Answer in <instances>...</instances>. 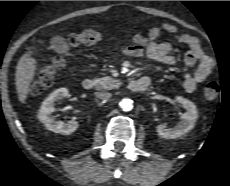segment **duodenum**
<instances>
[{
    "instance_id": "duodenum-1",
    "label": "duodenum",
    "mask_w": 230,
    "mask_h": 186,
    "mask_svg": "<svg viewBox=\"0 0 230 186\" xmlns=\"http://www.w3.org/2000/svg\"><path fill=\"white\" fill-rule=\"evenodd\" d=\"M150 79L148 77H141L139 79L131 80L129 82V89L133 92H143L150 86ZM82 87L86 91L93 90L95 81L92 78H87L83 81Z\"/></svg>"
}]
</instances>
